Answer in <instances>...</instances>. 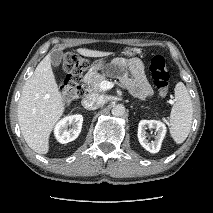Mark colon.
<instances>
[{
	"label": "colon",
	"instance_id": "obj_1",
	"mask_svg": "<svg viewBox=\"0 0 213 213\" xmlns=\"http://www.w3.org/2000/svg\"><path fill=\"white\" fill-rule=\"evenodd\" d=\"M88 61L77 54H68L63 61L66 78L60 86L65 103L69 104L78 100L83 94V75L88 69ZM149 70L159 94L166 97L169 93L170 75L164 57L155 55L150 60Z\"/></svg>",
	"mask_w": 213,
	"mask_h": 213
}]
</instances>
